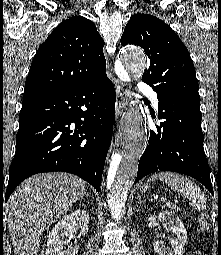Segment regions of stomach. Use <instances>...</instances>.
<instances>
[{
    "label": "stomach",
    "instance_id": "1",
    "mask_svg": "<svg viewBox=\"0 0 221 255\" xmlns=\"http://www.w3.org/2000/svg\"><path fill=\"white\" fill-rule=\"evenodd\" d=\"M148 189V185L144 184L142 187H140L141 191H146Z\"/></svg>",
    "mask_w": 221,
    "mask_h": 255
}]
</instances>
